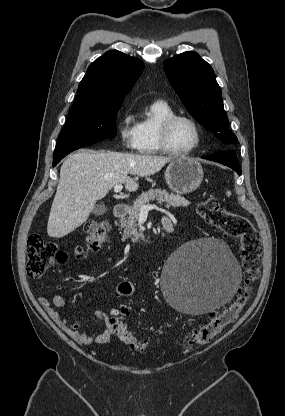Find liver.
I'll return each mask as SVG.
<instances>
[{"instance_id":"1","label":"liver","mask_w":285,"mask_h":416,"mask_svg":"<svg viewBox=\"0 0 285 416\" xmlns=\"http://www.w3.org/2000/svg\"><path fill=\"white\" fill-rule=\"evenodd\" d=\"M172 158L150 154H119L78 150L63 162L56 196L51 206L47 234L63 238L82 226L96 202L118 186L125 184L127 192H136L139 184L131 176H152L160 172Z\"/></svg>"}]
</instances>
